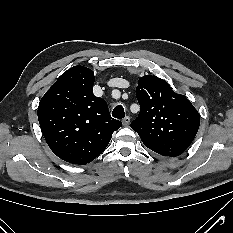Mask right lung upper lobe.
Instances as JSON below:
<instances>
[{"label": "right lung upper lobe", "instance_id": "cb5924a9", "mask_svg": "<svg viewBox=\"0 0 233 233\" xmlns=\"http://www.w3.org/2000/svg\"><path fill=\"white\" fill-rule=\"evenodd\" d=\"M94 80L92 70L74 66L58 78L38 106V120L48 146L69 163L91 162L122 126L111 117L106 102L93 95Z\"/></svg>", "mask_w": 233, "mask_h": 233}]
</instances>
